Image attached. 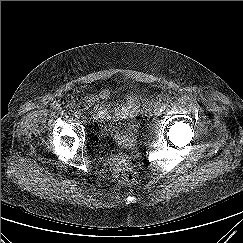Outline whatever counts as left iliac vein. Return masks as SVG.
I'll list each match as a JSON object with an SVG mask.
<instances>
[{
  "instance_id": "left-iliac-vein-1",
  "label": "left iliac vein",
  "mask_w": 243,
  "mask_h": 243,
  "mask_svg": "<svg viewBox=\"0 0 243 243\" xmlns=\"http://www.w3.org/2000/svg\"><path fill=\"white\" fill-rule=\"evenodd\" d=\"M161 114H162V111H161L160 108H156V109L154 110V115L159 116V115H161Z\"/></svg>"
}]
</instances>
